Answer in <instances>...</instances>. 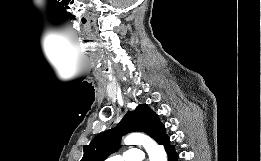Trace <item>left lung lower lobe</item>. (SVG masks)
I'll return each mask as SVG.
<instances>
[{
    "label": "left lung lower lobe",
    "instance_id": "obj_1",
    "mask_svg": "<svg viewBox=\"0 0 261 161\" xmlns=\"http://www.w3.org/2000/svg\"><path fill=\"white\" fill-rule=\"evenodd\" d=\"M160 145H164L165 150L168 154L169 157V161H177V154L174 151V145H170V140L169 137L166 136L163 140H161V142H159Z\"/></svg>",
    "mask_w": 261,
    "mask_h": 161
}]
</instances>
